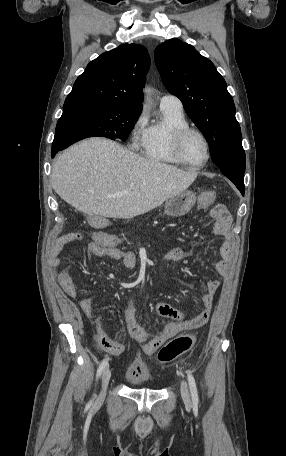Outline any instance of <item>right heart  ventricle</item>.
<instances>
[{
	"label": "right heart ventricle",
	"mask_w": 286,
	"mask_h": 456,
	"mask_svg": "<svg viewBox=\"0 0 286 456\" xmlns=\"http://www.w3.org/2000/svg\"><path fill=\"white\" fill-rule=\"evenodd\" d=\"M161 120L146 126L139 143L142 154L150 161L164 164H182L171 150V134L179 127L187 126L183 111L160 107Z\"/></svg>",
	"instance_id": "e07e8e85"
}]
</instances>
